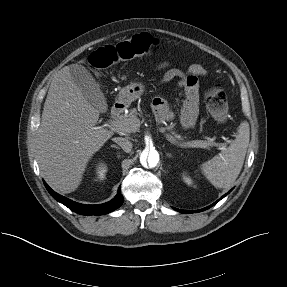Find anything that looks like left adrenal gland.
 Here are the masks:
<instances>
[{
	"label": "left adrenal gland",
	"mask_w": 287,
	"mask_h": 287,
	"mask_svg": "<svg viewBox=\"0 0 287 287\" xmlns=\"http://www.w3.org/2000/svg\"><path fill=\"white\" fill-rule=\"evenodd\" d=\"M167 156H168V157H172V155H171L170 153H167Z\"/></svg>",
	"instance_id": "1"
}]
</instances>
